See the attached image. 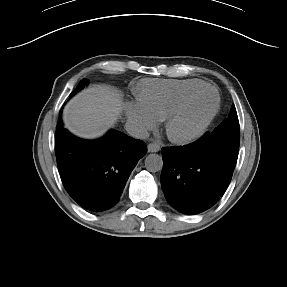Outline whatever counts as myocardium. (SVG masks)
Segmentation results:
<instances>
[{"mask_svg":"<svg viewBox=\"0 0 287 287\" xmlns=\"http://www.w3.org/2000/svg\"><path fill=\"white\" fill-rule=\"evenodd\" d=\"M206 90L212 92L214 96V105L209 114L207 115V117L193 131L186 134L176 133L175 125L177 121L180 119L190 100L196 94ZM219 109H220V96L218 91L214 87L205 84L192 89L180 99V101L176 104V106L173 108L171 113L166 118L165 131L168 139L171 142L178 145H185L194 142L205 133V131L208 129V127L216 117L217 113L219 112Z\"/></svg>","mask_w":287,"mask_h":287,"instance_id":"f54148a6","label":"myocardium"}]
</instances>
